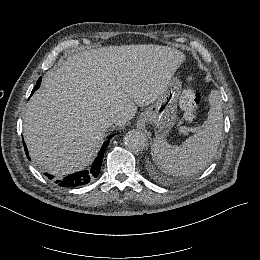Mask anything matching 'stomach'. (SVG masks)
<instances>
[{"mask_svg": "<svg viewBox=\"0 0 260 260\" xmlns=\"http://www.w3.org/2000/svg\"><path fill=\"white\" fill-rule=\"evenodd\" d=\"M182 83L173 78L164 93L139 115V124H152L156 134L167 136L178 120V98Z\"/></svg>", "mask_w": 260, "mask_h": 260, "instance_id": "1", "label": "stomach"}]
</instances>
